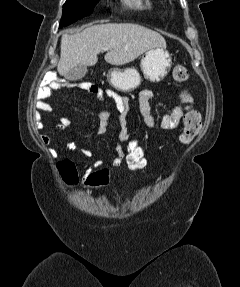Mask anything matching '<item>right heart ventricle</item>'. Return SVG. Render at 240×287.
Returning a JSON list of instances; mask_svg holds the SVG:
<instances>
[{
  "mask_svg": "<svg viewBox=\"0 0 240 287\" xmlns=\"http://www.w3.org/2000/svg\"><path fill=\"white\" fill-rule=\"evenodd\" d=\"M121 1L125 6L139 11H152L156 6L155 0H121Z\"/></svg>",
  "mask_w": 240,
  "mask_h": 287,
  "instance_id": "1",
  "label": "right heart ventricle"
}]
</instances>
